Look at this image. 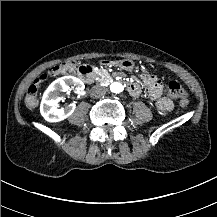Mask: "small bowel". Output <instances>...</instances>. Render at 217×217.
Instances as JSON below:
<instances>
[{
	"instance_id": "1",
	"label": "small bowel",
	"mask_w": 217,
	"mask_h": 217,
	"mask_svg": "<svg viewBox=\"0 0 217 217\" xmlns=\"http://www.w3.org/2000/svg\"><path fill=\"white\" fill-rule=\"evenodd\" d=\"M141 80L144 85L151 88L150 98L151 100L156 101L157 109L162 112H171L173 109V103L170 98L161 97L162 87L160 80L156 76L152 75H142ZM139 94L140 89L135 93H131L132 96H138Z\"/></svg>"
}]
</instances>
